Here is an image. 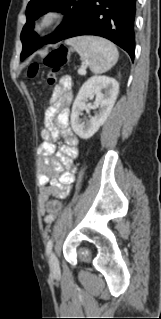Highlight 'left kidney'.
<instances>
[{"mask_svg":"<svg viewBox=\"0 0 161 319\" xmlns=\"http://www.w3.org/2000/svg\"><path fill=\"white\" fill-rule=\"evenodd\" d=\"M118 92V82L107 76H95L83 84L73 103L71 113L72 129L80 138L92 137L104 124L115 104ZM94 96H96L94 105L88 106L87 100ZM91 108H98L97 113L91 116L89 121L83 122L79 115L83 110Z\"/></svg>","mask_w":161,"mask_h":319,"instance_id":"5707ae66","label":"left kidney"}]
</instances>
